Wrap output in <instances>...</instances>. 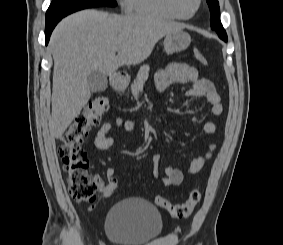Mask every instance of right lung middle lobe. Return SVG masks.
Here are the masks:
<instances>
[{
  "label": "right lung middle lobe",
  "instance_id": "obj_1",
  "mask_svg": "<svg viewBox=\"0 0 283 245\" xmlns=\"http://www.w3.org/2000/svg\"><path fill=\"white\" fill-rule=\"evenodd\" d=\"M117 5L115 0H52L47 12L46 22L63 18L68 14L85 8Z\"/></svg>",
  "mask_w": 283,
  "mask_h": 245
}]
</instances>
